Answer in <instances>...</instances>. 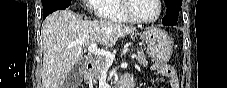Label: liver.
I'll use <instances>...</instances> for the list:
<instances>
[{"instance_id":"1","label":"liver","mask_w":227,"mask_h":88,"mask_svg":"<svg viewBox=\"0 0 227 88\" xmlns=\"http://www.w3.org/2000/svg\"><path fill=\"white\" fill-rule=\"evenodd\" d=\"M136 28L113 21H85L69 10L56 11L42 23V88H60L82 59L83 49L96 43L112 47Z\"/></svg>"}]
</instances>
